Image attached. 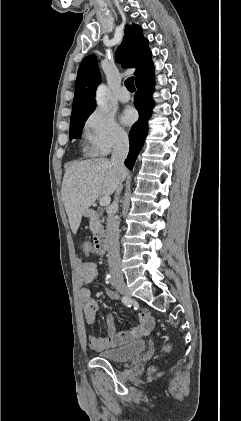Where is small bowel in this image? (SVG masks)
Returning a JSON list of instances; mask_svg holds the SVG:
<instances>
[{"label": "small bowel", "mask_w": 241, "mask_h": 421, "mask_svg": "<svg viewBox=\"0 0 241 421\" xmlns=\"http://www.w3.org/2000/svg\"><path fill=\"white\" fill-rule=\"evenodd\" d=\"M78 284L80 286L79 296L82 304L83 317L89 326L96 321L99 304L92 297L87 285L98 278L97 265L94 262L79 260L77 264ZM111 299H116V293L112 290L106 292ZM107 334L103 337L90 335L88 337L89 347L96 351H103L125 344L131 340L149 334L154 328V318L149 310L141 309L138 317V324L129 331L116 333L114 319L108 312L104 313Z\"/></svg>", "instance_id": "c3829d8e"}]
</instances>
